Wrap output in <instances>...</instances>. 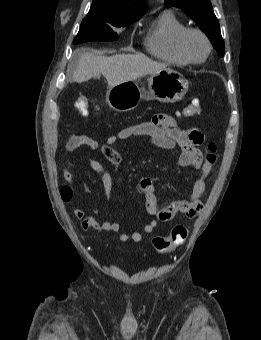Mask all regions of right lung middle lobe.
Here are the masks:
<instances>
[{
	"instance_id": "1",
	"label": "right lung middle lobe",
	"mask_w": 261,
	"mask_h": 340,
	"mask_svg": "<svg viewBox=\"0 0 261 340\" xmlns=\"http://www.w3.org/2000/svg\"><path fill=\"white\" fill-rule=\"evenodd\" d=\"M140 18L116 17L101 11L90 10L83 19L73 43L100 40L113 41L118 35L115 28L128 26Z\"/></svg>"
}]
</instances>
